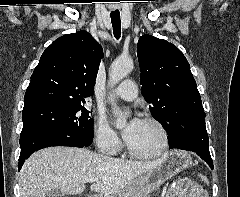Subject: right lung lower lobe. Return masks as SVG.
Listing matches in <instances>:
<instances>
[{
	"label": "right lung lower lobe",
	"instance_id": "98d812e1",
	"mask_svg": "<svg viewBox=\"0 0 240 197\" xmlns=\"http://www.w3.org/2000/svg\"><path fill=\"white\" fill-rule=\"evenodd\" d=\"M50 146L85 147L84 144L66 135L47 128L22 129L20 135L21 153L18 162L20 170L25 160L35 151Z\"/></svg>",
	"mask_w": 240,
	"mask_h": 197
}]
</instances>
